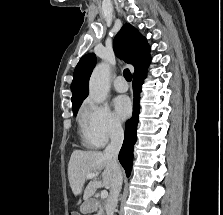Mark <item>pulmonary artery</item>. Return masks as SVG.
Returning <instances> with one entry per match:
<instances>
[{"label":"pulmonary artery","mask_w":223,"mask_h":215,"mask_svg":"<svg viewBox=\"0 0 223 215\" xmlns=\"http://www.w3.org/2000/svg\"><path fill=\"white\" fill-rule=\"evenodd\" d=\"M113 86H114L115 90L118 91V92H125V91L128 90V83L121 76L117 77L114 80Z\"/></svg>","instance_id":"1"}]
</instances>
